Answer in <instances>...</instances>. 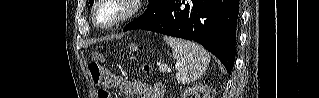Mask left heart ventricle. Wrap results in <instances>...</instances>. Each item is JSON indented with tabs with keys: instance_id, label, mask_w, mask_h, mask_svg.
Returning a JSON list of instances; mask_svg holds the SVG:
<instances>
[{
	"instance_id": "obj_1",
	"label": "left heart ventricle",
	"mask_w": 319,
	"mask_h": 98,
	"mask_svg": "<svg viewBox=\"0 0 319 98\" xmlns=\"http://www.w3.org/2000/svg\"><path fill=\"white\" fill-rule=\"evenodd\" d=\"M126 8L117 2H108L98 9V21L101 24H107L120 17Z\"/></svg>"
}]
</instances>
